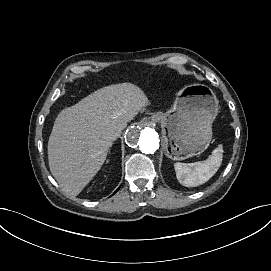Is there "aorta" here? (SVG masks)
I'll return each mask as SVG.
<instances>
[{
  "instance_id": "762f6f07",
  "label": "aorta",
  "mask_w": 271,
  "mask_h": 271,
  "mask_svg": "<svg viewBox=\"0 0 271 271\" xmlns=\"http://www.w3.org/2000/svg\"><path fill=\"white\" fill-rule=\"evenodd\" d=\"M159 142V135L155 129L143 123L130 127L126 134L127 145L144 154H153L159 148Z\"/></svg>"
}]
</instances>
